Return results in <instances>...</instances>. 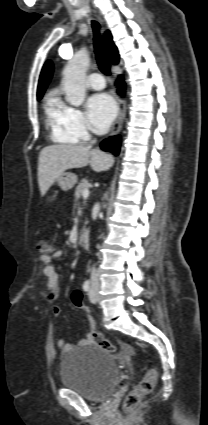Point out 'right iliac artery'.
<instances>
[{
	"mask_svg": "<svg viewBox=\"0 0 208 425\" xmlns=\"http://www.w3.org/2000/svg\"><path fill=\"white\" fill-rule=\"evenodd\" d=\"M90 281L89 280H86L84 283H83V289H84V291H89V289H90Z\"/></svg>",
	"mask_w": 208,
	"mask_h": 425,
	"instance_id": "1",
	"label": "right iliac artery"
}]
</instances>
